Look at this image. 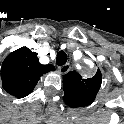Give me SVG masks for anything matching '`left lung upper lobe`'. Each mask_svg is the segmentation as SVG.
I'll list each match as a JSON object with an SVG mask.
<instances>
[{
  "label": "left lung upper lobe",
  "instance_id": "5c2ea615",
  "mask_svg": "<svg viewBox=\"0 0 124 124\" xmlns=\"http://www.w3.org/2000/svg\"><path fill=\"white\" fill-rule=\"evenodd\" d=\"M102 82L101 72L98 70L90 79L71 71L63 78L64 100L69 107H83L90 105L100 89Z\"/></svg>",
  "mask_w": 124,
  "mask_h": 124
}]
</instances>
